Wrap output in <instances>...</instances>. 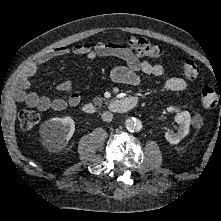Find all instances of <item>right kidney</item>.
Masks as SVG:
<instances>
[{
	"label": "right kidney",
	"instance_id": "1",
	"mask_svg": "<svg viewBox=\"0 0 221 221\" xmlns=\"http://www.w3.org/2000/svg\"><path fill=\"white\" fill-rule=\"evenodd\" d=\"M75 131V123L71 117L52 118L40 127V133L46 148L56 152L65 148Z\"/></svg>",
	"mask_w": 221,
	"mask_h": 221
}]
</instances>
